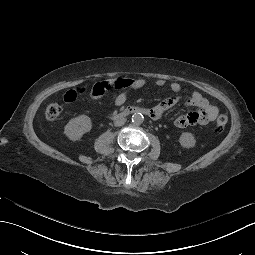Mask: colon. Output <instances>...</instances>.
Masks as SVG:
<instances>
[{
    "mask_svg": "<svg viewBox=\"0 0 255 255\" xmlns=\"http://www.w3.org/2000/svg\"><path fill=\"white\" fill-rule=\"evenodd\" d=\"M62 113V106L58 103H49L45 109V115L48 120L57 119ZM228 123V116L224 113L220 114L214 124V130L221 132L225 129Z\"/></svg>",
    "mask_w": 255,
    "mask_h": 255,
    "instance_id": "obj_1",
    "label": "colon"
}]
</instances>
